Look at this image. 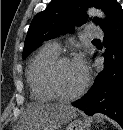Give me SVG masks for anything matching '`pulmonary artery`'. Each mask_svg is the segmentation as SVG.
<instances>
[{
  "label": "pulmonary artery",
  "instance_id": "obj_1",
  "mask_svg": "<svg viewBox=\"0 0 123 130\" xmlns=\"http://www.w3.org/2000/svg\"><path fill=\"white\" fill-rule=\"evenodd\" d=\"M85 34L88 38L91 39H97L103 37V31L99 27L94 25L87 26ZM47 44L50 45L55 50L60 51V44L57 40H51Z\"/></svg>",
  "mask_w": 123,
  "mask_h": 130
}]
</instances>
